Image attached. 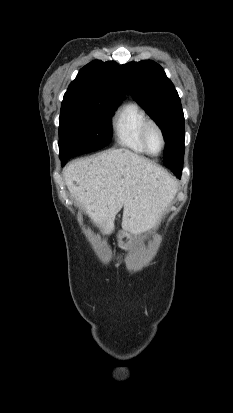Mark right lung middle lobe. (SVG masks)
I'll list each match as a JSON object with an SVG mask.
<instances>
[{"label":"right lung middle lobe","instance_id":"dd1d6c3e","mask_svg":"<svg viewBox=\"0 0 233 413\" xmlns=\"http://www.w3.org/2000/svg\"><path fill=\"white\" fill-rule=\"evenodd\" d=\"M121 101L64 96L59 117L60 158L105 147L111 140V117Z\"/></svg>","mask_w":233,"mask_h":413}]
</instances>
